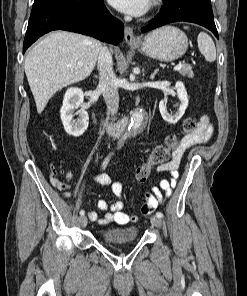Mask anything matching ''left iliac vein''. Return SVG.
I'll return each instance as SVG.
<instances>
[{
  "instance_id": "4c4485c4",
  "label": "left iliac vein",
  "mask_w": 247,
  "mask_h": 296,
  "mask_svg": "<svg viewBox=\"0 0 247 296\" xmlns=\"http://www.w3.org/2000/svg\"><path fill=\"white\" fill-rule=\"evenodd\" d=\"M151 223H152V225H154L158 228H160L162 226V220H161V218H159L157 216L151 218Z\"/></svg>"
}]
</instances>
